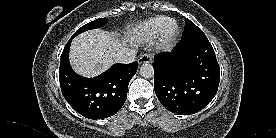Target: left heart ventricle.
Wrapping results in <instances>:
<instances>
[{
  "label": "left heart ventricle",
  "mask_w": 276,
  "mask_h": 138,
  "mask_svg": "<svg viewBox=\"0 0 276 138\" xmlns=\"http://www.w3.org/2000/svg\"><path fill=\"white\" fill-rule=\"evenodd\" d=\"M170 28L172 29V28H173V25H171Z\"/></svg>",
  "instance_id": "left-heart-ventricle-1"
}]
</instances>
